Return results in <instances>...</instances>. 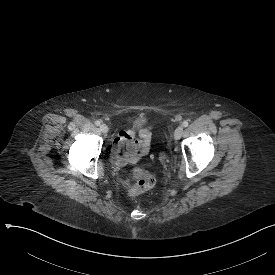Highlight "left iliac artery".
Wrapping results in <instances>:
<instances>
[{
	"label": "left iliac artery",
	"mask_w": 275,
	"mask_h": 275,
	"mask_svg": "<svg viewBox=\"0 0 275 275\" xmlns=\"http://www.w3.org/2000/svg\"><path fill=\"white\" fill-rule=\"evenodd\" d=\"M182 125H183L184 127H187V126L189 125V122H188V121H183Z\"/></svg>",
	"instance_id": "1"
}]
</instances>
